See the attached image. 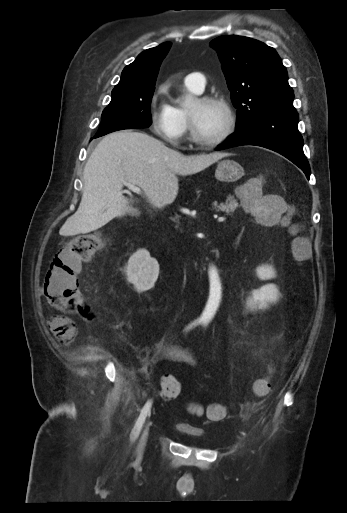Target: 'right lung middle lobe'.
Segmentation results:
<instances>
[{"mask_svg":"<svg viewBox=\"0 0 347 513\" xmlns=\"http://www.w3.org/2000/svg\"><path fill=\"white\" fill-rule=\"evenodd\" d=\"M154 86L147 88H119L112 91V99L103 111L97 136L122 129L146 128L152 123L150 104Z\"/></svg>","mask_w":347,"mask_h":513,"instance_id":"obj_1","label":"right lung middle lobe"}]
</instances>
